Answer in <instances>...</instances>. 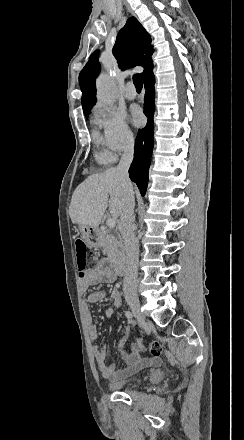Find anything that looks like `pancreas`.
<instances>
[{
    "mask_svg": "<svg viewBox=\"0 0 244 440\" xmlns=\"http://www.w3.org/2000/svg\"><path fill=\"white\" fill-rule=\"evenodd\" d=\"M99 246H101L103 254H107L112 264H118L121 258H123V244L121 236L116 230H113V232H101Z\"/></svg>",
    "mask_w": 244,
    "mask_h": 440,
    "instance_id": "1",
    "label": "pancreas"
}]
</instances>
